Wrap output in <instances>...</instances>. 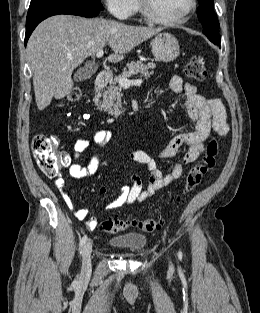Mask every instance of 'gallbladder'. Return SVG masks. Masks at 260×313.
Segmentation results:
<instances>
[{"label": "gallbladder", "mask_w": 260, "mask_h": 313, "mask_svg": "<svg viewBox=\"0 0 260 313\" xmlns=\"http://www.w3.org/2000/svg\"><path fill=\"white\" fill-rule=\"evenodd\" d=\"M96 71V66L89 67L88 65L80 68L75 74H74V80L76 82L84 81L86 79H89Z\"/></svg>", "instance_id": "gallbladder-1"}]
</instances>
